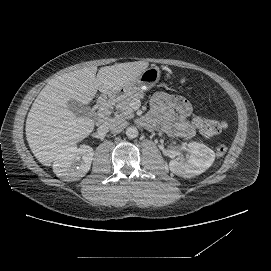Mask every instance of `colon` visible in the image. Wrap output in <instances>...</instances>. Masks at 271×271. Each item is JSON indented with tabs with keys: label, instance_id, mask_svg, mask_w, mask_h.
Segmentation results:
<instances>
[{
	"label": "colon",
	"instance_id": "5ec220e1",
	"mask_svg": "<svg viewBox=\"0 0 271 271\" xmlns=\"http://www.w3.org/2000/svg\"><path fill=\"white\" fill-rule=\"evenodd\" d=\"M194 125L197 131L206 138L213 137L222 131H224L227 127L226 123L221 120L205 118V117H197L194 119ZM227 152V146L224 144H220L216 148V154L219 157H223Z\"/></svg>",
	"mask_w": 271,
	"mask_h": 271
}]
</instances>
